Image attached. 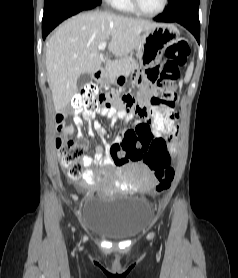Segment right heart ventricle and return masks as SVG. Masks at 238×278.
<instances>
[{"label":"right heart ventricle","mask_w":238,"mask_h":278,"mask_svg":"<svg viewBox=\"0 0 238 278\" xmlns=\"http://www.w3.org/2000/svg\"><path fill=\"white\" fill-rule=\"evenodd\" d=\"M115 7L123 12H133V8L129 0H117Z\"/></svg>","instance_id":"e07e8e85"}]
</instances>
